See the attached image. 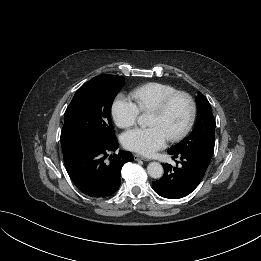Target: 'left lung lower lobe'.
Masks as SVG:
<instances>
[{
	"instance_id": "0a47b994",
	"label": "left lung lower lobe",
	"mask_w": 261,
	"mask_h": 261,
	"mask_svg": "<svg viewBox=\"0 0 261 261\" xmlns=\"http://www.w3.org/2000/svg\"><path fill=\"white\" fill-rule=\"evenodd\" d=\"M176 165L164 164V175L152 182L154 191L164 198L178 199L187 196L202 181L208 164L186 152H170Z\"/></svg>"
}]
</instances>
